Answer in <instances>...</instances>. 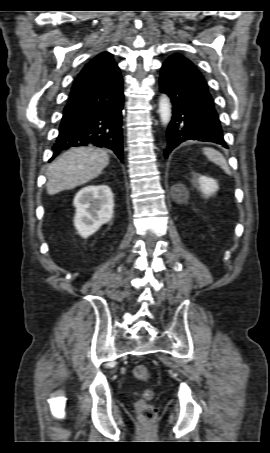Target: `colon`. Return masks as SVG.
Returning <instances> with one entry per match:
<instances>
[{
  "instance_id": "1",
  "label": "colon",
  "mask_w": 270,
  "mask_h": 453,
  "mask_svg": "<svg viewBox=\"0 0 270 453\" xmlns=\"http://www.w3.org/2000/svg\"><path fill=\"white\" fill-rule=\"evenodd\" d=\"M133 374L140 381H148L151 377L149 368L143 364L135 366ZM153 396V390L146 389L143 397L137 402L136 407L139 418L146 423H151L155 419V409L151 404Z\"/></svg>"
}]
</instances>
